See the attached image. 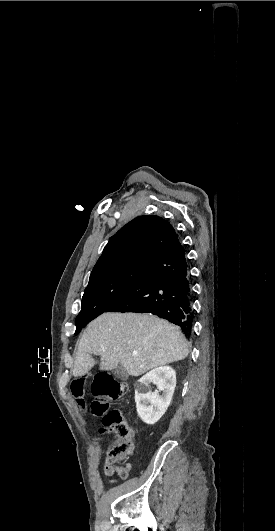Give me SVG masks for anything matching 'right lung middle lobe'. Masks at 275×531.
I'll use <instances>...</instances> for the list:
<instances>
[{
  "instance_id": "1",
  "label": "right lung middle lobe",
  "mask_w": 275,
  "mask_h": 531,
  "mask_svg": "<svg viewBox=\"0 0 275 531\" xmlns=\"http://www.w3.org/2000/svg\"><path fill=\"white\" fill-rule=\"evenodd\" d=\"M146 265L131 266L103 275L88 283L76 317L78 334L91 320L111 308L139 279Z\"/></svg>"
}]
</instances>
